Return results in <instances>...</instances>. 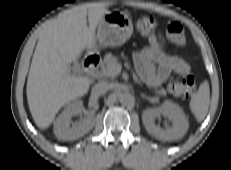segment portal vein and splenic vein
<instances>
[{"instance_id": "1", "label": "portal vein and splenic vein", "mask_w": 231, "mask_h": 170, "mask_svg": "<svg viewBox=\"0 0 231 170\" xmlns=\"http://www.w3.org/2000/svg\"><path fill=\"white\" fill-rule=\"evenodd\" d=\"M121 68H122V66H121L120 64L112 65V66L110 67V70H109V71L104 72V73L101 72V75H102V76H104V75H105V76H110V75L116 76V75H118V74L121 72Z\"/></svg>"}]
</instances>
